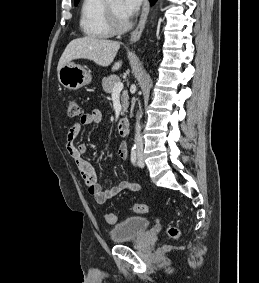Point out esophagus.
<instances>
[{
    "mask_svg": "<svg viewBox=\"0 0 259 283\" xmlns=\"http://www.w3.org/2000/svg\"><path fill=\"white\" fill-rule=\"evenodd\" d=\"M149 10H150L149 1L144 0L138 25L133 30V32L131 33V36H130V43H135L140 39L141 34H142L144 27H145V24H146V20H147V17H148Z\"/></svg>",
    "mask_w": 259,
    "mask_h": 283,
    "instance_id": "1",
    "label": "esophagus"
}]
</instances>
